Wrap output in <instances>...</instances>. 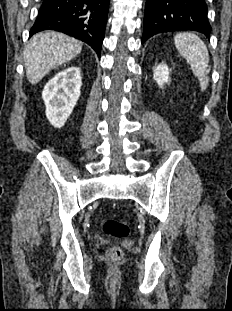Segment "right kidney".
Returning a JSON list of instances; mask_svg holds the SVG:
<instances>
[{
	"label": "right kidney",
	"instance_id": "obj_1",
	"mask_svg": "<svg viewBox=\"0 0 232 311\" xmlns=\"http://www.w3.org/2000/svg\"><path fill=\"white\" fill-rule=\"evenodd\" d=\"M82 85L78 67L72 66L57 73L44 87L42 98L46 117L56 128H61L72 113Z\"/></svg>",
	"mask_w": 232,
	"mask_h": 311
}]
</instances>
